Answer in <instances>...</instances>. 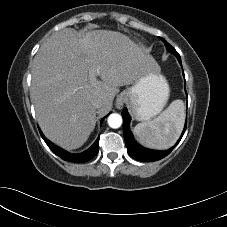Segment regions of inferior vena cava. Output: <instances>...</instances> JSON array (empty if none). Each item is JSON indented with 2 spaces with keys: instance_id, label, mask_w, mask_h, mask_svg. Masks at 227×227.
<instances>
[{
  "instance_id": "1",
  "label": "inferior vena cava",
  "mask_w": 227,
  "mask_h": 227,
  "mask_svg": "<svg viewBox=\"0 0 227 227\" xmlns=\"http://www.w3.org/2000/svg\"><path fill=\"white\" fill-rule=\"evenodd\" d=\"M93 106L96 108V109H99L101 106H102V100L101 99H95L93 101Z\"/></svg>"
}]
</instances>
